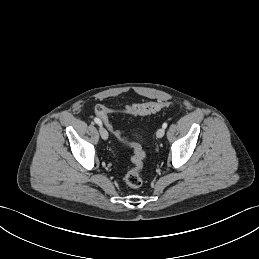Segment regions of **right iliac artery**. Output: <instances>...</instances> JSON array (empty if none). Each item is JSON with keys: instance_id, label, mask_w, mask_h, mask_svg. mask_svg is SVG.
<instances>
[{"instance_id": "1", "label": "right iliac artery", "mask_w": 259, "mask_h": 259, "mask_svg": "<svg viewBox=\"0 0 259 259\" xmlns=\"http://www.w3.org/2000/svg\"><path fill=\"white\" fill-rule=\"evenodd\" d=\"M94 122H95L97 125H99V126L102 125V122H101L100 119H98V118H95V119H94Z\"/></svg>"}]
</instances>
